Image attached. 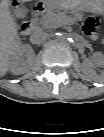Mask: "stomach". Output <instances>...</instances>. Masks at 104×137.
Masks as SVG:
<instances>
[{"mask_svg": "<svg viewBox=\"0 0 104 137\" xmlns=\"http://www.w3.org/2000/svg\"><path fill=\"white\" fill-rule=\"evenodd\" d=\"M100 0H44L43 5L46 9H73L97 11ZM101 4V3H100Z\"/></svg>", "mask_w": 104, "mask_h": 137, "instance_id": "stomach-1", "label": "stomach"}]
</instances>
